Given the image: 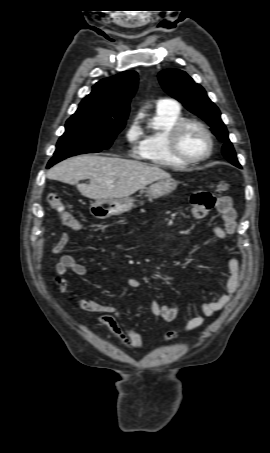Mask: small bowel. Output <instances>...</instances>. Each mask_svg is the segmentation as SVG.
Instances as JSON below:
<instances>
[{"instance_id":"c3829d8e","label":"small bowel","mask_w":270,"mask_h":453,"mask_svg":"<svg viewBox=\"0 0 270 453\" xmlns=\"http://www.w3.org/2000/svg\"><path fill=\"white\" fill-rule=\"evenodd\" d=\"M216 210L221 215L223 225L212 228L215 236L221 240L232 236L236 232V212L232 205V200L228 196L219 197L215 201ZM209 209L204 205L196 202L193 197V214L196 218L206 216ZM70 240L68 233H63L59 240L52 248L56 255L62 253ZM229 276L224 283L225 293L216 300H208L201 304L203 316L192 318L185 326V331H192L199 328L205 322L206 318L212 317L216 312L225 308L232 300L235 292L239 287L242 275V263L238 256L232 255L228 260ZM71 270L76 276H84L86 267L77 262L71 254H63L56 265V273L60 277L57 284L61 292H67L68 282L64 278L67 272ZM127 284L130 288L136 289L141 287L140 279L136 277L129 278ZM79 308L88 315L94 317L97 325L107 327L114 336L126 347L130 349H143V340L140 333L128 325L123 314L115 306L101 303L92 299H79ZM150 313L161 317L166 322L174 321L182 312V307L173 306L170 302L160 304L157 301H151L148 305ZM177 335L176 331H169L166 334V340L170 341Z\"/></svg>"}]
</instances>
